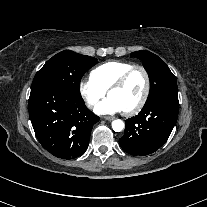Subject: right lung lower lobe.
<instances>
[{
    "instance_id": "obj_1",
    "label": "right lung lower lobe",
    "mask_w": 207,
    "mask_h": 207,
    "mask_svg": "<svg viewBox=\"0 0 207 207\" xmlns=\"http://www.w3.org/2000/svg\"><path fill=\"white\" fill-rule=\"evenodd\" d=\"M28 108L37 139L48 152L73 159L86 151L99 117L81 97L57 87H39L31 90Z\"/></svg>"
}]
</instances>
